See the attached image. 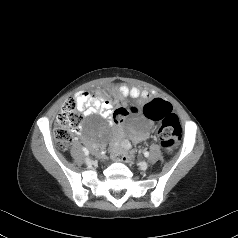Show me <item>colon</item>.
<instances>
[{
	"mask_svg": "<svg viewBox=\"0 0 238 238\" xmlns=\"http://www.w3.org/2000/svg\"><path fill=\"white\" fill-rule=\"evenodd\" d=\"M116 93L121 98H139L141 100L146 99L149 95L148 90L140 85L130 87L121 85L117 88ZM143 113L148 119L161 123L158 131L160 144L164 150L171 151L182 136L179 119L173 113L171 104L161 99H153L144 106ZM127 114L125 108H118L112 113V119L116 124H120ZM81 118L82 113L76 99L69 98L66 100L57 117L54 129V137L59 149L67 150L69 148L72 133L79 128ZM111 157L115 161L125 163L132 161L128 149L120 144L112 149Z\"/></svg>",
	"mask_w": 238,
	"mask_h": 238,
	"instance_id": "1",
	"label": "colon"
}]
</instances>
